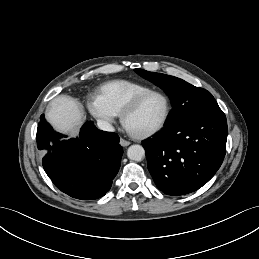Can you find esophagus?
<instances>
[{"mask_svg": "<svg viewBox=\"0 0 259 259\" xmlns=\"http://www.w3.org/2000/svg\"><path fill=\"white\" fill-rule=\"evenodd\" d=\"M120 144H121L123 147H127V146L130 145V142L127 141V140H125V139H123V138H121V139H120Z\"/></svg>", "mask_w": 259, "mask_h": 259, "instance_id": "obj_1", "label": "esophagus"}]
</instances>
